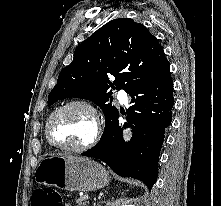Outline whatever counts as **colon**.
Wrapping results in <instances>:
<instances>
[{
	"mask_svg": "<svg viewBox=\"0 0 221 206\" xmlns=\"http://www.w3.org/2000/svg\"><path fill=\"white\" fill-rule=\"evenodd\" d=\"M62 196L47 188H38L32 194V206H64Z\"/></svg>",
	"mask_w": 221,
	"mask_h": 206,
	"instance_id": "1",
	"label": "colon"
}]
</instances>
